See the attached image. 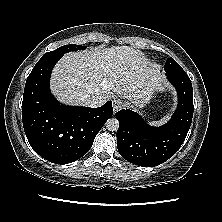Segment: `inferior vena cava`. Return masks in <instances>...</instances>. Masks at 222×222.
<instances>
[{"label":"inferior vena cava","instance_id":"obj_1","mask_svg":"<svg viewBox=\"0 0 222 222\" xmlns=\"http://www.w3.org/2000/svg\"><path fill=\"white\" fill-rule=\"evenodd\" d=\"M104 99L97 97L96 95H85L82 98L84 105L88 107H99L104 103Z\"/></svg>","mask_w":222,"mask_h":222}]
</instances>
